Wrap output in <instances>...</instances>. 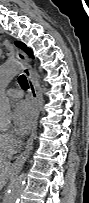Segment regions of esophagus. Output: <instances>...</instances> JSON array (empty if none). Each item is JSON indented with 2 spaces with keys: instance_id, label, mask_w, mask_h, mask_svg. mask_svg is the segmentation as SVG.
<instances>
[{
  "instance_id": "obj_1",
  "label": "esophagus",
  "mask_w": 89,
  "mask_h": 203,
  "mask_svg": "<svg viewBox=\"0 0 89 203\" xmlns=\"http://www.w3.org/2000/svg\"><path fill=\"white\" fill-rule=\"evenodd\" d=\"M16 58L18 61H20L24 65L23 73L29 82L31 99H32L34 109H35V119H34V125H33V129H32V133H31V135L27 141L26 148H25L24 152L16 159V161L13 164V168L18 171L21 169V167L25 163V161H26V159H27V157L31 151V148H32L33 138H34V135H35L36 129H37V120L39 117V107H38L37 87H36V84L34 81L33 73L30 69L29 59L26 56V54L20 50L16 51Z\"/></svg>"
}]
</instances>
